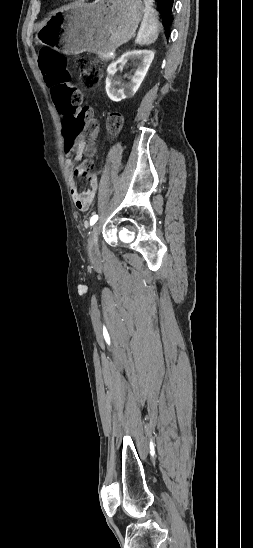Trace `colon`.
Instances as JSON below:
<instances>
[{
    "label": "colon",
    "instance_id": "obj_1",
    "mask_svg": "<svg viewBox=\"0 0 253 548\" xmlns=\"http://www.w3.org/2000/svg\"><path fill=\"white\" fill-rule=\"evenodd\" d=\"M39 64L44 81L48 83L49 97L53 99L60 113L61 136L68 139V144H71L75 137H82L83 133L93 138L98 126L92 119L89 108L83 105L82 92L76 89V81L71 79L68 60L53 49L42 48L39 53ZM75 67L83 88H94L99 84L103 69L101 62L81 56L75 60ZM122 123V115L112 113L107 120V129L111 134H115L121 129ZM77 171L86 177L95 176L90 159L80 163Z\"/></svg>",
    "mask_w": 253,
    "mask_h": 548
}]
</instances>
